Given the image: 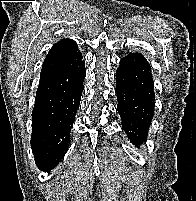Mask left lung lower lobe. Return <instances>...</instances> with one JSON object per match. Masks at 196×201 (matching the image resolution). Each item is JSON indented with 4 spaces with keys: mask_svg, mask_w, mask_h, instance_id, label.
<instances>
[{
    "mask_svg": "<svg viewBox=\"0 0 196 201\" xmlns=\"http://www.w3.org/2000/svg\"><path fill=\"white\" fill-rule=\"evenodd\" d=\"M117 110L122 128L137 147L147 138L154 115L151 67L140 53H129L120 60L116 72Z\"/></svg>",
    "mask_w": 196,
    "mask_h": 201,
    "instance_id": "left-lung-lower-lobe-1",
    "label": "left lung lower lobe"
}]
</instances>
